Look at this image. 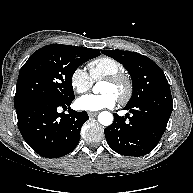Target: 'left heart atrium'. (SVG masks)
<instances>
[{
  "mask_svg": "<svg viewBox=\"0 0 193 193\" xmlns=\"http://www.w3.org/2000/svg\"><path fill=\"white\" fill-rule=\"evenodd\" d=\"M117 98L111 93L87 94L76 99L75 106L82 111H99L104 108H113Z\"/></svg>",
  "mask_w": 193,
  "mask_h": 193,
  "instance_id": "obj_1",
  "label": "left heart atrium"
}]
</instances>
